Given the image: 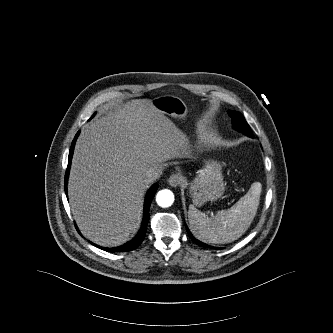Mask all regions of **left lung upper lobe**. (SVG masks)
Wrapping results in <instances>:
<instances>
[{
    "label": "left lung upper lobe",
    "mask_w": 333,
    "mask_h": 333,
    "mask_svg": "<svg viewBox=\"0 0 333 333\" xmlns=\"http://www.w3.org/2000/svg\"><path fill=\"white\" fill-rule=\"evenodd\" d=\"M228 114L232 119L231 122L235 130L240 131L249 137H253L251 129L241 113L230 110L228 111Z\"/></svg>",
    "instance_id": "left-lung-upper-lobe-1"
}]
</instances>
